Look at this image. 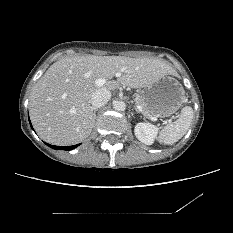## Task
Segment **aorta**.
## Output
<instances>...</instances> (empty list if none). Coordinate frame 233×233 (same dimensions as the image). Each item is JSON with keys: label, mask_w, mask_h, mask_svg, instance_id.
<instances>
[{"label": "aorta", "mask_w": 233, "mask_h": 233, "mask_svg": "<svg viewBox=\"0 0 233 233\" xmlns=\"http://www.w3.org/2000/svg\"><path fill=\"white\" fill-rule=\"evenodd\" d=\"M113 108L116 110V111H124L126 109V104L124 101H116L114 102L113 104Z\"/></svg>", "instance_id": "762f6f07"}]
</instances>
